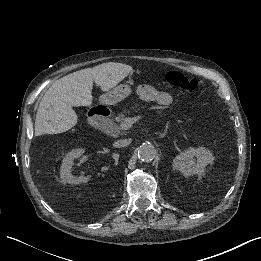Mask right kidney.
I'll return each mask as SVG.
<instances>
[{
    "label": "right kidney",
    "instance_id": "obj_1",
    "mask_svg": "<svg viewBox=\"0 0 261 261\" xmlns=\"http://www.w3.org/2000/svg\"><path fill=\"white\" fill-rule=\"evenodd\" d=\"M80 151V154H84L83 148H78L73 150L71 153H68L66 157L62 161L61 165V177L62 179L70 184H81V183H87L89 181L88 177L81 178L76 176H71L70 170L72 169V161L74 158L78 156V152ZM72 154V155H70Z\"/></svg>",
    "mask_w": 261,
    "mask_h": 261
}]
</instances>
